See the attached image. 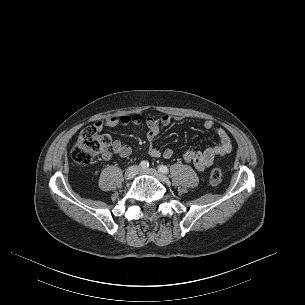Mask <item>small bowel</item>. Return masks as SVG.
Wrapping results in <instances>:
<instances>
[{"instance_id":"small-bowel-1","label":"small bowel","mask_w":305,"mask_h":305,"mask_svg":"<svg viewBox=\"0 0 305 305\" xmlns=\"http://www.w3.org/2000/svg\"><path fill=\"white\" fill-rule=\"evenodd\" d=\"M178 118L170 115H162L160 117L148 116L143 117L141 114H125L120 117H110L105 120H100L95 123V127L102 129L104 127H113L118 124L122 125H139L144 123L147 128V139H148V154L153 158L163 157L170 159L174 156V151L170 148L160 151L154 146L153 142L157 140L163 129L169 126L174 120ZM203 127L207 130H213L218 143L208 146L202 150L190 149L183 154V159L192 163L194 167L202 172L213 165L214 160L217 156H223L231 152L232 143L230 136L227 131L222 127H214L212 120H206L203 123ZM132 148L126 143L115 140L112 143L111 150H107L102 153L101 157L103 160H110L113 154L120 156L121 158H127L131 155Z\"/></svg>"}]
</instances>
